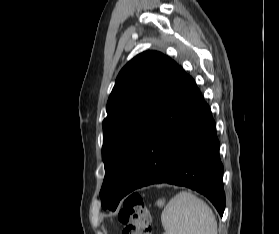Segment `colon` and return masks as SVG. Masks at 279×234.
<instances>
[{
	"label": "colon",
	"mask_w": 279,
	"mask_h": 234,
	"mask_svg": "<svg viewBox=\"0 0 279 234\" xmlns=\"http://www.w3.org/2000/svg\"><path fill=\"white\" fill-rule=\"evenodd\" d=\"M119 220L124 225L122 234H151L150 213L139 194L124 200Z\"/></svg>",
	"instance_id": "colon-1"
}]
</instances>
